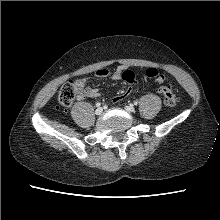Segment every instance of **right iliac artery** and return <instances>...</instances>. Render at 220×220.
Masks as SVG:
<instances>
[{
    "instance_id": "right-iliac-artery-1",
    "label": "right iliac artery",
    "mask_w": 220,
    "mask_h": 220,
    "mask_svg": "<svg viewBox=\"0 0 220 220\" xmlns=\"http://www.w3.org/2000/svg\"><path fill=\"white\" fill-rule=\"evenodd\" d=\"M100 105H101V104H100L99 102H98V103H96V106H97V107H99Z\"/></svg>"
}]
</instances>
